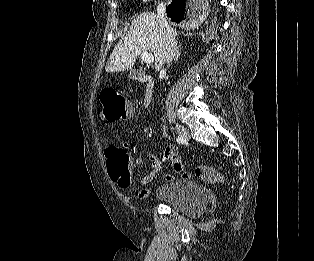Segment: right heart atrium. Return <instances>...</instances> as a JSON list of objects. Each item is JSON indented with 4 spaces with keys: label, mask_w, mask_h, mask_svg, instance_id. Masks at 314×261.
<instances>
[{
    "label": "right heart atrium",
    "mask_w": 314,
    "mask_h": 261,
    "mask_svg": "<svg viewBox=\"0 0 314 261\" xmlns=\"http://www.w3.org/2000/svg\"><path fill=\"white\" fill-rule=\"evenodd\" d=\"M142 2H148L149 0H141Z\"/></svg>",
    "instance_id": "d8ad5b80"
}]
</instances>
